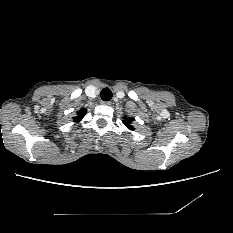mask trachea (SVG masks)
<instances>
[{
  "mask_svg": "<svg viewBox=\"0 0 233 233\" xmlns=\"http://www.w3.org/2000/svg\"><path fill=\"white\" fill-rule=\"evenodd\" d=\"M100 96L103 101H109L112 98L113 94L112 91L106 87L101 90Z\"/></svg>",
  "mask_w": 233,
  "mask_h": 233,
  "instance_id": "3493384b",
  "label": "trachea"
}]
</instances>
